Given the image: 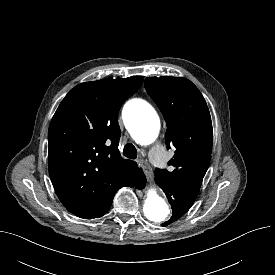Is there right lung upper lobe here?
Instances as JSON below:
<instances>
[{
	"mask_svg": "<svg viewBox=\"0 0 275 275\" xmlns=\"http://www.w3.org/2000/svg\"><path fill=\"white\" fill-rule=\"evenodd\" d=\"M142 76L84 82L69 91L48 131L49 174L62 204L77 217H101L137 167L118 149V112Z\"/></svg>",
	"mask_w": 275,
	"mask_h": 275,
	"instance_id": "1",
	"label": "right lung upper lobe"
}]
</instances>
